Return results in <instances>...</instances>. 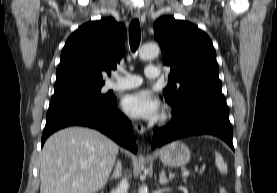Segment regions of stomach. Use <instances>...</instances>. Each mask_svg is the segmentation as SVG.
Returning a JSON list of instances; mask_svg holds the SVG:
<instances>
[{
    "mask_svg": "<svg viewBox=\"0 0 277 193\" xmlns=\"http://www.w3.org/2000/svg\"><path fill=\"white\" fill-rule=\"evenodd\" d=\"M189 148L180 141L172 142L159 151V158L165 165L171 167L183 166L190 160Z\"/></svg>",
    "mask_w": 277,
    "mask_h": 193,
    "instance_id": "stomach-1",
    "label": "stomach"
}]
</instances>
